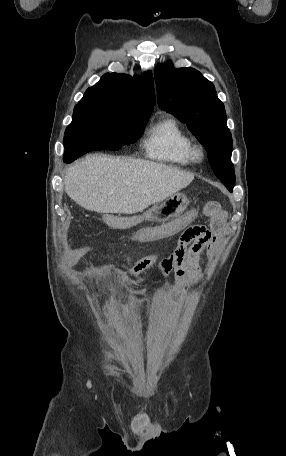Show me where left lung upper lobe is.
<instances>
[{"label": "left lung upper lobe", "instance_id": "left-lung-upper-lobe-1", "mask_svg": "<svg viewBox=\"0 0 286 456\" xmlns=\"http://www.w3.org/2000/svg\"><path fill=\"white\" fill-rule=\"evenodd\" d=\"M161 109L188 125L205 147L215 175L232 192L235 183L231 163L232 137L224 104L215 87L196 69L158 65L154 72Z\"/></svg>", "mask_w": 286, "mask_h": 456}]
</instances>
